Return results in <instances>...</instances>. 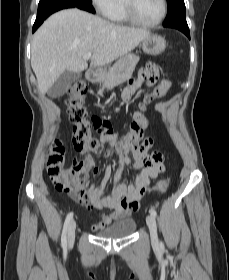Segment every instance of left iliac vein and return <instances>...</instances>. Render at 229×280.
<instances>
[{
	"label": "left iliac vein",
	"instance_id": "1",
	"mask_svg": "<svg viewBox=\"0 0 229 280\" xmlns=\"http://www.w3.org/2000/svg\"><path fill=\"white\" fill-rule=\"evenodd\" d=\"M146 222L150 231L151 240L154 244L158 242L156 221L153 215L149 214L146 217Z\"/></svg>",
	"mask_w": 229,
	"mask_h": 280
}]
</instances>
